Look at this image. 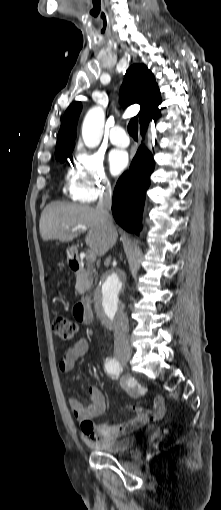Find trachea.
<instances>
[{"mask_svg": "<svg viewBox=\"0 0 221 510\" xmlns=\"http://www.w3.org/2000/svg\"><path fill=\"white\" fill-rule=\"evenodd\" d=\"M128 132L134 138L137 139L138 136V119L132 118L128 124Z\"/></svg>", "mask_w": 221, "mask_h": 510, "instance_id": "obj_1", "label": "trachea"}]
</instances>
